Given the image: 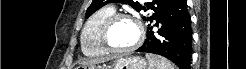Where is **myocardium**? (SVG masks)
Masks as SVG:
<instances>
[{
	"instance_id": "1",
	"label": "myocardium",
	"mask_w": 246,
	"mask_h": 69,
	"mask_svg": "<svg viewBox=\"0 0 246 69\" xmlns=\"http://www.w3.org/2000/svg\"><path fill=\"white\" fill-rule=\"evenodd\" d=\"M119 20L132 21L135 24L138 32V37L135 43L124 49H118L113 47L109 41L110 31L112 27L115 25V23L118 22ZM100 36H101L102 44L108 52L113 54H125L127 52L137 49L143 43L145 38V33L141 21L137 19L135 16L129 13H114L113 15L108 17L103 23Z\"/></svg>"
}]
</instances>
